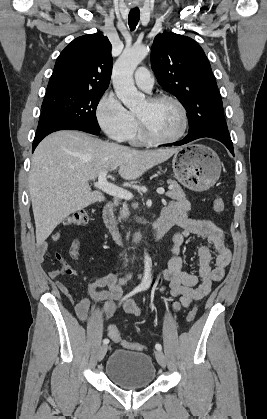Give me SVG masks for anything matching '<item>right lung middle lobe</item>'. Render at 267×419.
<instances>
[{"instance_id":"obj_1","label":"right lung middle lobe","mask_w":267,"mask_h":419,"mask_svg":"<svg viewBox=\"0 0 267 419\" xmlns=\"http://www.w3.org/2000/svg\"><path fill=\"white\" fill-rule=\"evenodd\" d=\"M104 91L62 90L46 93L42 112H48L82 126L100 130L96 108Z\"/></svg>"}]
</instances>
